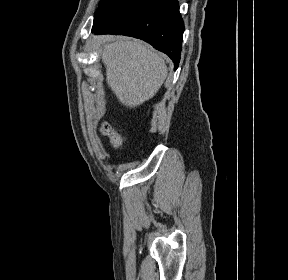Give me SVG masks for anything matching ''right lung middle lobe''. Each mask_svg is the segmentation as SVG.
I'll return each instance as SVG.
<instances>
[{
    "label": "right lung middle lobe",
    "instance_id": "1",
    "mask_svg": "<svg viewBox=\"0 0 288 280\" xmlns=\"http://www.w3.org/2000/svg\"><path fill=\"white\" fill-rule=\"evenodd\" d=\"M120 1L121 0H101L98 9L95 12L94 19L99 17L106 9Z\"/></svg>",
    "mask_w": 288,
    "mask_h": 280
}]
</instances>
